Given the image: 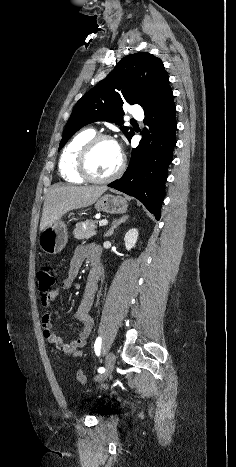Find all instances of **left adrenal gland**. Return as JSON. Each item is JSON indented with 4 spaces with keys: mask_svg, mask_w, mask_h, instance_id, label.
Here are the masks:
<instances>
[{
    "mask_svg": "<svg viewBox=\"0 0 236 467\" xmlns=\"http://www.w3.org/2000/svg\"><path fill=\"white\" fill-rule=\"evenodd\" d=\"M128 218H129L128 215H124L119 219L113 220L111 228L106 232L104 237L112 236V234L114 233V230L122 223H125L128 220Z\"/></svg>",
    "mask_w": 236,
    "mask_h": 467,
    "instance_id": "a2214340",
    "label": "left adrenal gland"
}]
</instances>
